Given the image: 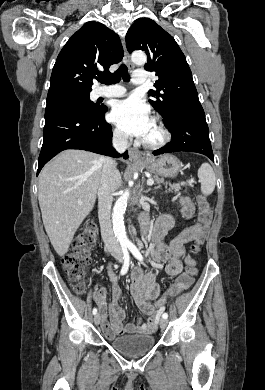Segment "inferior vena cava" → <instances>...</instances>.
<instances>
[{"mask_svg": "<svg viewBox=\"0 0 265 390\" xmlns=\"http://www.w3.org/2000/svg\"><path fill=\"white\" fill-rule=\"evenodd\" d=\"M113 147L123 153L128 147V136L121 132L113 135ZM103 168L100 186L98 189V218L101 229L102 240L106 250L115 257L122 256V249L116 240L110 219L113 193L119 187L121 176L116 169L115 160L110 157H103Z\"/></svg>", "mask_w": 265, "mask_h": 390, "instance_id": "1", "label": "inferior vena cava"}]
</instances>
